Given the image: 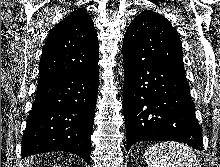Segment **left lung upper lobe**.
I'll return each instance as SVG.
<instances>
[{"label": "left lung upper lobe", "mask_w": 220, "mask_h": 167, "mask_svg": "<svg viewBox=\"0 0 220 167\" xmlns=\"http://www.w3.org/2000/svg\"><path fill=\"white\" fill-rule=\"evenodd\" d=\"M141 63H154L184 72L177 30L162 15L145 10L129 25L123 41V55Z\"/></svg>", "instance_id": "obj_1"}]
</instances>
